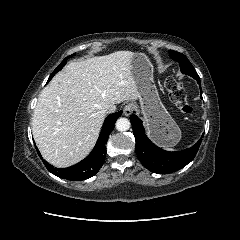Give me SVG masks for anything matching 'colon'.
I'll use <instances>...</instances> for the list:
<instances>
[{"mask_svg":"<svg viewBox=\"0 0 240 240\" xmlns=\"http://www.w3.org/2000/svg\"><path fill=\"white\" fill-rule=\"evenodd\" d=\"M165 87L169 93L170 100L184 114L193 115L194 107L188 102L186 93L180 82L173 76H169L165 81Z\"/></svg>","mask_w":240,"mask_h":240,"instance_id":"colon-1","label":"colon"}]
</instances>
